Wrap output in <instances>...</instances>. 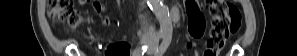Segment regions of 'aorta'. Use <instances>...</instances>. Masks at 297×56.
<instances>
[{
    "label": "aorta",
    "instance_id": "762f6f07",
    "mask_svg": "<svg viewBox=\"0 0 297 56\" xmlns=\"http://www.w3.org/2000/svg\"><path fill=\"white\" fill-rule=\"evenodd\" d=\"M152 11L160 23L161 33L169 35L172 33V22L169 17V10L166 8L162 0H149Z\"/></svg>",
    "mask_w": 297,
    "mask_h": 56
}]
</instances>
